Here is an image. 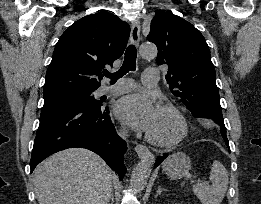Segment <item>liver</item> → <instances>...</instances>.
<instances>
[{
  "instance_id": "1",
  "label": "liver",
  "mask_w": 261,
  "mask_h": 204,
  "mask_svg": "<svg viewBox=\"0 0 261 204\" xmlns=\"http://www.w3.org/2000/svg\"><path fill=\"white\" fill-rule=\"evenodd\" d=\"M39 204H108L112 179L105 161L83 148L57 152L34 170Z\"/></svg>"
}]
</instances>
